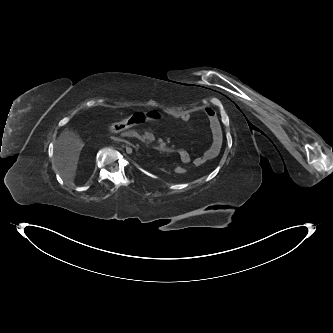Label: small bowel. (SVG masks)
Masks as SVG:
<instances>
[{"mask_svg":"<svg viewBox=\"0 0 333 333\" xmlns=\"http://www.w3.org/2000/svg\"><path fill=\"white\" fill-rule=\"evenodd\" d=\"M206 116L209 121V125L212 131V143L209 148L199 157H196L193 160V163L196 166H201L207 161L215 158L220 151L222 145V132L219 123L218 116L216 112L211 108H206ZM192 116V113L189 111H182L178 113L175 118L182 122H187ZM177 153L179 155L180 161L183 165H187L191 161V156L188 151L184 149H178Z\"/></svg>","mask_w":333,"mask_h":333,"instance_id":"small-bowel-1","label":"small bowel"}]
</instances>
